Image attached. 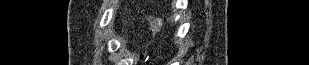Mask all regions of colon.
<instances>
[{
	"instance_id": "colon-1",
	"label": "colon",
	"mask_w": 309,
	"mask_h": 65,
	"mask_svg": "<svg viewBox=\"0 0 309 65\" xmlns=\"http://www.w3.org/2000/svg\"><path fill=\"white\" fill-rule=\"evenodd\" d=\"M145 17L149 23V32L154 36L160 27V19L157 16L145 13Z\"/></svg>"
}]
</instances>
